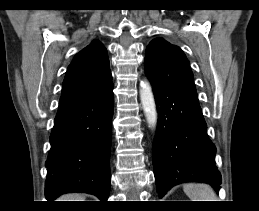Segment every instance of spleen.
Returning <instances> with one entry per match:
<instances>
[{
    "mask_svg": "<svg viewBox=\"0 0 259 211\" xmlns=\"http://www.w3.org/2000/svg\"><path fill=\"white\" fill-rule=\"evenodd\" d=\"M184 192L190 201H217L214 190L204 183H187L184 185Z\"/></svg>",
    "mask_w": 259,
    "mask_h": 211,
    "instance_id": "spleen-1",
    "label": "spleen"
}]
</instances>
